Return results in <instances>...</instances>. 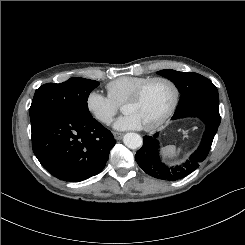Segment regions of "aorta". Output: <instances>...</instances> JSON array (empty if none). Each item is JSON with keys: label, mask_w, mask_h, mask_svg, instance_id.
I'll return each instance as SVG.
<instances>
[{"label": "aorta", "mask_w": 245, "mask_h": 245, "mask_svg": "<svg viewBox=\"0 0 245 245\" xmlns=\"http://www.w3.org/2000/svg\"><path fill=\"white\" fill-rule=\"evenodd\" d=\"M124 144L130 149L140 148L143 144L142 137L137 133H127L123 138Z\"/></svg>", "instance_id": "762f6f07"}]
</instances>
